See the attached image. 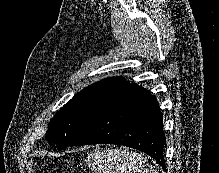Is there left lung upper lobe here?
<instances>
[{"instance_id":"left-lung-upper-lobe-1","label":"left lung upper lobe","mask_w":219,"mask_h":173,"mask_svg":"<svg viewBox=\"0 0 219 173\" xmlns=\"http://www.w3.org/2000/svg\"><path fill=\"white\" fill-rule=\"evenodd\" d=\"M129 85L124 78L114 77L86 87L51 119L46 139L56 143L58 150H64L85 130L99 110Z\"/></svg>"}]
</instances>
